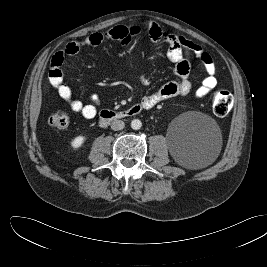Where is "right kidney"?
<instances>
[{"label":"right kidney","instance_id":"1","mask_svg":"<svg viewBox=\"0 0 267 267\" xmlns=\"http://www.w3.org/2000/svg\"><path fill=\"white\" fill-rule=\"evenodd\" d=\"M84 140H85V138L83 136H77L72 140L71 146L74 149H77V148L82 146V144L84 143Z\"/></svg>","mask_w":267,"mask_h":267}]
</instances>
